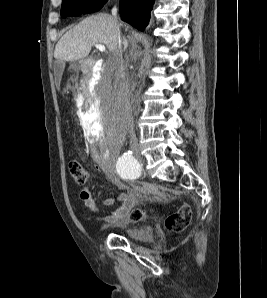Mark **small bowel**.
<instances>
[{
	"mask_svg": "<svg viewBox=\"0 0 267 298\" xmlns=\"http://www.w3.org/2000/svg\"><path fill=\"white\" fill-rule=\"evenodd\" d=\"M110 180L118 185L125 186L123 180H121L117 175H110ZM138 195V189L135 187L129 188L128 192H120L116 198H107L104 201L105 206H111L116 201L121 202V205L113 210L111 213L104 215L102 220L110 226H121L127 223V215L131 208L134 206L136 201V196ZM80 199L83 204L93 212L98 211L97 204L93 199L91 192L85 188L80 192ZM87 220H91V217H87Z\"/></svg>",
	"mask_w": 267,
	"mask_h": 298,
	"instance_id": "obj_1",
	"label": "small bowel"
}]
</instances>
